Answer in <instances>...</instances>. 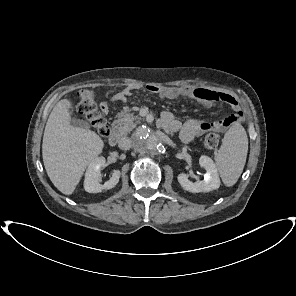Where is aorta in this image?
Segmentation results:
<instances>
[{
	"mask_svg": "<svg viewBox=\"0 0 296 296\" xmlns=\"http://www.w3.org/2000/svg\"><path fill=\"white\" fill-rule=\"evenodd\" d=\"M133 147L145 155H156L162 149L159 138L148 127H140L133 135Z\"/></svg>",
	"mask_w": 296,
	"mask_h": 296,
	"instance_id": "762f6f07",
	"label": "aorta"
}]
</instances>
